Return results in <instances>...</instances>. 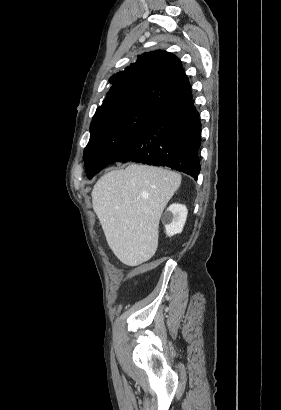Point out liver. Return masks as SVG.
<instances>
[{
	"mask_svg": "<svg viewBox=\"0 0 281 410\" xmlns=\"http://www.w3.org/2000/svg\"><path fill=\"white\" fill-rule=\"evenodd\" d=\"M180 184L176 172L130 164L108 172L94 185L93 210L122 263L137 266L154 256L162 212Z\"/></svg>",
	"mask_w": 281,
	"mask_h": 410,
	"instance_id": "obj_1",
	"label": "liver"
}]
</instances>
